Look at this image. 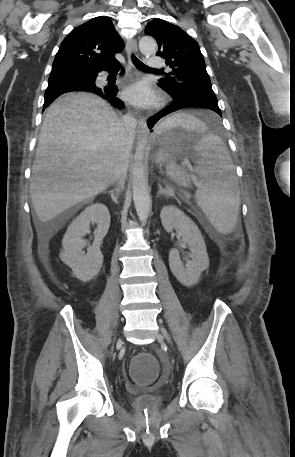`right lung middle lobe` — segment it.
<instances>
[{"label": "right lung middle lobe", "instance_id": "dd1d6c3e", "mask_svg": "<svg viewBox=\"0 0 295 457\" xmlns=\"http://www.w3.org/2000/svg\"><path fill=\"white\" fill-rule=\"evenodd\" d=\"M77 78L89 80L90 76L89 77H87V76H85V77H77ZM61 92L63 93V91L59 90L58 93H61ZM51 95H53V91L52 90H49V91L46 90L45 97H50Z\"/></svg>", "mask_w": 295, "mask_h": 457}]
</instances>
